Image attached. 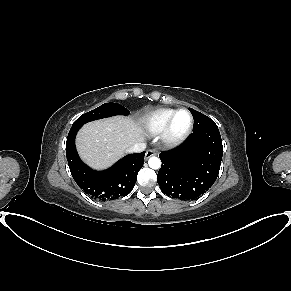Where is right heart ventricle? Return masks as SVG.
Here are the masks:
<instances>
[{
	"label": "right heart ventricle",
	"mask_w": 291,
	"mask_h": 291,
	"mask_svg": "<svg viewBox=\"0 0 291 291\" xmlns=\"http://www.w3.org/2000/svg\"><path fill=\"white\" fill-rule=\"evenodd\" d=\"M175 111L174 109L164 108L151 113L145 119L146 130L152 135L163 132L168 120Z\"/></svg>",
	"instance_id": "1"
}]
</instances>
